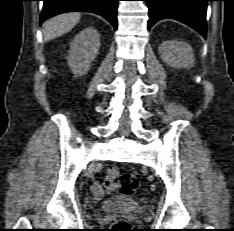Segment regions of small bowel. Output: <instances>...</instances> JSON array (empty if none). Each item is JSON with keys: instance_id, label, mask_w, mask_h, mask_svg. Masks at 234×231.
Wrapping results in <instances>:
<instances>
[{"instance_id": "1", "label": "small bowel", "mask_w": 234, "mask_h": 231, "mask_svg": "<svg viewBox=\"0 0 234 231\" xmlns=\"http://www.w3.org/2000/svg\"><path fill=\"white\" fill-rule=\"evenodd\" d=\"M116 168H110L104 181H95L91 185V192L96 199L104 197L106 194L113 192L117 185L115 183L114 173Z\"/></svg>"}]
</instances>
